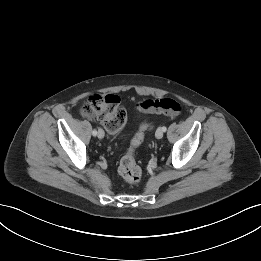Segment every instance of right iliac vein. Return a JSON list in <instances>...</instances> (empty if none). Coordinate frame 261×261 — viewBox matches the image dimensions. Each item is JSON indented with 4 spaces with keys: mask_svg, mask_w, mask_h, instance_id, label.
Masks as SVG:
<instances>
[{
    "mask_svg": "<svg viewBox=\"0 0 261 261\" xmlns=\"http://www.w3.org/2000/svg\"><path fill=\"white\" fill-rule=\"evenodd\" d=\"M97 136H98L99 139L104 138V131L102 129H99Z\"/></svg>",
    "mask_w": 261,
    "mask_h": 261,
    "instance_id": "obj_1",
    "label": "right iliac vein"
}]
</instances>
